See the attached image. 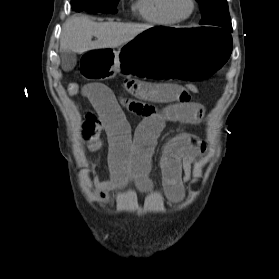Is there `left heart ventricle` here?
<instances>
[{
  "instance_id": "obj_1",
  "label": "left heart ventricle",
  "mask_w": 279,
  "mask_h": 279,
  "mask_svg": "<svg viewBox=\"0 0 279 279\" xmlns=\"http://www.w3.org/2000/svg\"><path fill=\"white\" fill-rule=\"evenodd\" d=\"M173 11L180 16H184L189 13L191 9L190 0H171Z\"/></svg>"
}]
</instances>
